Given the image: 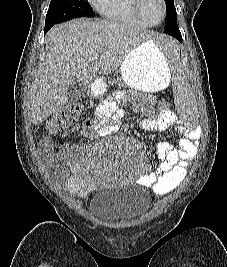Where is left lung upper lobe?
<instances>
[{
	"instance_id": "5c2ea615",
	"label": "left lung upper lobe",
	"mask_w": 227,
	"mask_h": 267,
	"mask_svg": "<svg viewBox=\"0 0 227 267\" xmlns=\"http://www.w3.org/2000/svg\"><path fill=\"white\" fill-rule=\"evenodd\" d=\"M166 3V24L174 21L176 17V11L174 7V0H165Z\"/></svg>"
}]
</instances>
